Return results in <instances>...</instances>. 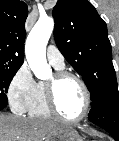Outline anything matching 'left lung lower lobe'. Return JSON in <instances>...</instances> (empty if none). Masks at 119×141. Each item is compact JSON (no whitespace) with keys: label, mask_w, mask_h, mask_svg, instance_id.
<instances>
[{"label":"left lung lower lobe","mask_w":119,"mask_h":141,"mask_svg":"<svg viewBox=\"0 0 119 141\" xmlns=\"http://www.w3.org/2000/svg\"><path fill=\"white\" fill-rule=\"evenodd\" d=\"M88 119L119 141V94L112 95L92 106Z\"/></svg>","instance_id":"obj_1"}]
</instances>
